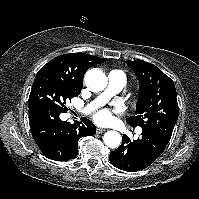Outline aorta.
<instances>
[{"label": "aorta", "mask_w": 199, "mask_h": 199, "mask_svg": "<svg viewBox=\"0 0 199 199\" xmlns=\"http://www.w3.org/2000/svg\"><path fill=\"white\" fill-rule=\"evenodd\" d=\"M108 79L103 71L98 68L90 69L85 75V84L91 91H102L107 86ZM121 135L116 131H108L103 136V141L109 148H117L121 144Z\"/></svg>", "instance_id": "762f6f07"}]
</instances>
